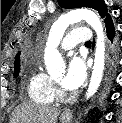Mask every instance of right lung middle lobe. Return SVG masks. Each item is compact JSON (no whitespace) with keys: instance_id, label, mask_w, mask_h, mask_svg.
<instances>
[{"instance_id":"1","label":"right lung middle lobe","mask_w":122,"mask_h":123,"mask_svg":"<svg viewBox=\"0 0 122 123\" xmlns=\"http://www.w3.org/2000/svg\"><path fill=\"white\" fill-rule=\"evenodd\" d=\"M20 66L14 67V77L19 75Z\"/></svg>"}]
</instances>
